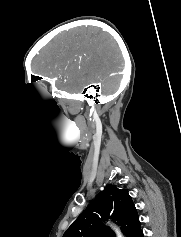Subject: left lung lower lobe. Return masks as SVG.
<instances>
[{
  "instance_id": "1",
  "label": "left lung lower lobe",
  "mask_w": 181,
  "mask_h": 237,
  "mask_svg": "<svg viewBox=\"0 0 181 237\" xmlns=\"http://www.w3.org/2000/svg\"><path fill=\"white\" fill-rule=\"evenodd\" d=\"M136 237H144L143 232L141 231L140 233H138Z\"/></svg>"
}]
</instances>
